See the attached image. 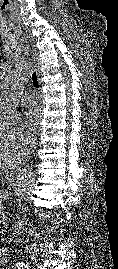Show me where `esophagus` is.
Listing matches in <instances>:
<instances>
[{"instance_id":"esophagus-1","label":"esophagus","mask_w":118,"mask_h":269,"mask_svg":"<svg viewBox=\"0 0 118 269\" xmlns=\"http://www.w3.org/2000/svg\"><path fill=\"white\" fill-rule=\"evenodd\" d=\"M33 59H34V62H35L36 70H37L38 74L40 75L39 63H37V61H36V55L35 54L33 56Z\"/></svg>"}]
</instances>
